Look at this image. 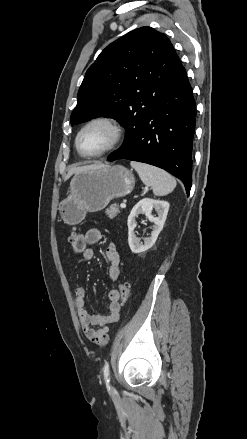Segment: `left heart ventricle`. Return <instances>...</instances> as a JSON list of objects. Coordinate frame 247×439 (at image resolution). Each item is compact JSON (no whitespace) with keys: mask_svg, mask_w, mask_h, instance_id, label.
I'll list each match as a JSON object with an SVG mask.
<instances>
[{"mask_svg":"<svg viewBox=\"0 0 247 439\" xmlns=\"http://www.w3.org/2000/svg\"><path fill=\"white\" fill-rule=\"evenodd\" d=\"M112 139L111 130L104 124H95L82 134L79 144L86 154L96 153L109 145Z\"/></svg>","mask_w":247,"mask_h":439,"instance_id":"obj_1","label":"left heart ventricle"}]
</instances>
